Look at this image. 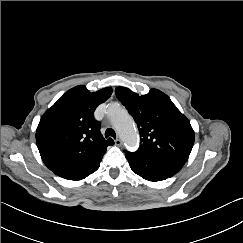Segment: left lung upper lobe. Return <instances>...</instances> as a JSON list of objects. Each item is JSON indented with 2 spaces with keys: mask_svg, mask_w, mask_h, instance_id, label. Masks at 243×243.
<instances>
[{
  "mask_svg": "<svg viewBox=\"0 0 243 243\" xmlns=\"http://www.w3.org/2000/svg\"><path fill=\"white\" fill-rule=\"evenodd\" d=\"M115 93L139 129L141 144L135 153L185 164L194 144V131L170 98L157 89L139 96L118 87Z\"/></svg>",
  "mask_w": 243,
  "mask_h": 243,
  "instance_id": "left-lung-upper-lobe-1",
  "label": "left lung upper lobe"
}]
</instances>
